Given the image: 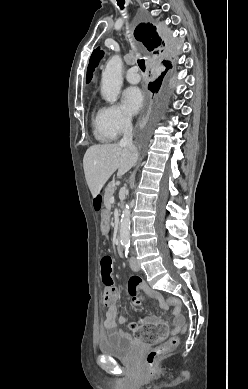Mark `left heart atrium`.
Here are the masks:
<instances>
[{"label": "left heart atrium", "instance_id": "1", "mask_svg": "<svg viewBox=\"0 0 248 389\" xmlns=\"http://www.w3.org/2000/svg\"><path fill=\"white\" fill-rule=\"evenodd\" d=\"M122 102L127 113H137L143 102L141 91L136 87L127 88L122 94Z\"/></svg>", "mask_w": 248, "mask_h": 389}]
</instances>
